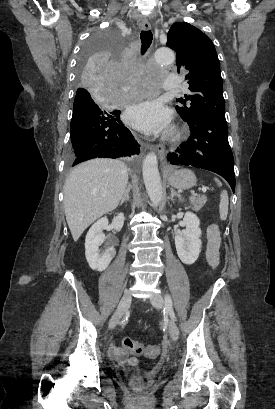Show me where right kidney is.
Here are the masks:
<instances>
[{
  "label": "right kidney",
  "mask_w": 275,
  "mask_h": 409,
  "mask_svg": "<svg viewBox=\"0 0 275 409\" xmlns=\"http://www.w3.org/2000/svg\"><path fill=\"white\" fill-rule=\"evenodd\" d=\"M124 223L123 213H119L117 217H114L112 221V229L115 231H121ZM109 221L107 217H102L99 221H96L89 229L85 239V257L91 267L92 271H105L109 267L113 257L116 255L114 247L106 249L103 255H99V247L105 237L102 231L108 229Z\"/></svg>",
  "instance_id": "1"
}]
</instances>
